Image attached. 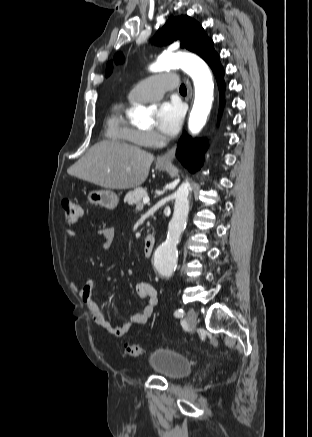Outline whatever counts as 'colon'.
<instances>
[{
	"label": "colon",
	"instance_id": "obj_1",
	"mask_svg": "<svg viewBox=\"0 0 312 437\" xmlns=\"http://www.w3.org/2000/svg\"><path fill=\"white\" fill-rule=\"evenodd\" d=\"M62 208L64 212L65 221L68 224H76L83 217L84 208L81 203L72 200V199H64L62 201ZM124 353L127 356L137 357L142 354L141 347L137 344L127 345L125 347Z\"/></svg>",
	"mask_w": 312,
	"mask_h": 437
}]
</instances>
